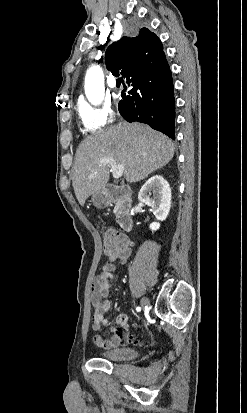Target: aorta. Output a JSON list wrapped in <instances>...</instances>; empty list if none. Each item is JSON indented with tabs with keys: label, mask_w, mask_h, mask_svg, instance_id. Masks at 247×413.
Segmentation results:
<instances>
[{
	"label": "aorta",
	"mask_w": 247,
	"mask_h": 413,
	"mask_svg": "<svg viewBox=\"0 0 247 413\" xmlns=\"http://www.w3.org/2000/svg\"><path fill=\"white\" fill-rule=\"evenodd\" d=\"M104 74L99 65H94L87 71L85 77V94L92 104H100L104 98Z\"/></svg>",
	"instance_id": "1"
}]
</instances>
